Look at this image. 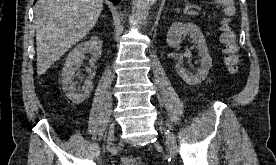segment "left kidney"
Listing matches in <instances>:
<instances>
[{"label": "left kidney", "instance_id": "5707ae66", "mask_svg": "<svg viewBox=\"0 0 276 165\" xmlns=\"http://www.w3.org/2000/svg\"><path fill=\"white\" fill-rule=\"evenodd\" d=\"M189 35L192 41L197 45L200 59V67L195 73L185 69L182 64L176 65V71L180 77L189 85H197L201 83L208 75L209 69L212 67V58L209 55L206 40L200 28L193 23L183 24L174 22L167 33V44L170 47H178L181 37Z\"/></svg>", "mask_w": 276, "mask_h": 165}]
</instances>
